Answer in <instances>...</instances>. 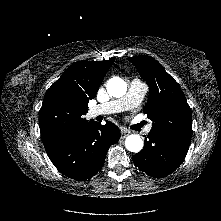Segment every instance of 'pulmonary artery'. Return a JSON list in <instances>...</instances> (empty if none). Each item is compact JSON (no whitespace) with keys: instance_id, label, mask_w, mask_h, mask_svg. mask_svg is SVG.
<instances>
[{"instance_id":"pulmonary-artery-1","label":"pulmonary artery","mask_w":221,"mask_h":221,"mask_svg":"<svg viewBox=\"0 0 221 221\" xmlns=\"http://www.w3.org/2000/svg\"><path fill=\"white\" fill-rule=\"evenodd\" d=\"M147 89L144 83L135 79L130 83L129 90L124 97L94 106L89 110V114L90 116H97L130 110L140 104ZM150 130L151 126L149 125L146 127V132H150Z\"/></svg>"}]
</instances>
